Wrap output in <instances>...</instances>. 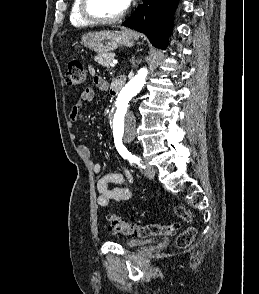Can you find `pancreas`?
<instances>
[{"label": "pancreas", "mask_w": 259, "mask_h": 294, "mask_svg": "<svg viewBox=\"0 0 259 294\" xmlns=\"http://www.w3.org/2000/svg\"><path fill=\"white\" fill-rule=\"evenodd\" d=\"M115 58V54L114 53H106V54H98L95 57V61L104 66L109 68L110 63L112 62V60Z\"/></svg>", "instance_id": "pancreas-1"}]
</instances>
